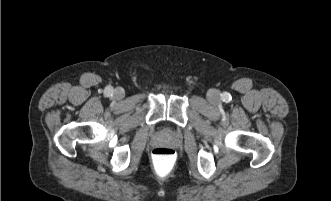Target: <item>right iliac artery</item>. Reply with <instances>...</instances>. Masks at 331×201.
<instances>
[{"label":"right iliac artery","instance_id":"1","mask_svg":"<svg viewBox=\"0 0 331 201\" xmlns=\"http://www.w3.org/2000/svg\"><path fill=\"white\" fill-rule=\"evenodd\" d=\"M105 95L106 96H112L113 95V89L110 88V87L106 88Z\"/></svg>","mask_w":331,"mask_h":201}]
</instances>
